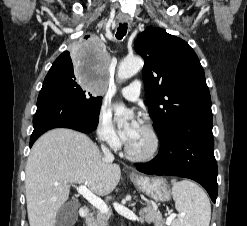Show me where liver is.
<instances>
[{
    "label": "liver",
    "instance_id": "1",
    "mask_svg": "<svg viewBox=\"0 0 247 226\" xmlns=\"http://www.w3.org/2000/svg\"><path fill=\"white\" fill-rule=\"evenodd\" d=\"M25 171L30 226H55L71 184H84L91 192L106 196L121 177L119 165L103 157L88 136L66 128L48 131L35 142Z\"/></svg>",
    "mask_w": 247,
    "mask_h": 226
}]
</instances>
